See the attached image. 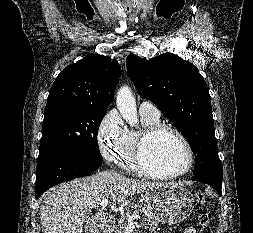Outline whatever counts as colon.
Masks as SVG:
<instances>
[{
    "label": "colon",
    "instance_id": "5ec220e1",
    "mask_svg": "<svg viewBox=\"0 0 253 233\" xmlns=\"http://www.w3.org/2000/svg\"><path fill=\"white\" fill-rule=\"evenodd\" d=\"M198 201L203 202L205 196L203 193H198L196 195ZM199 233H212V228L209 222L208 214L202 213L199 217Z\"/></svg>",
    "mask_w": 253,
    "mask_h": 233
}]
</instances>
